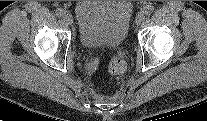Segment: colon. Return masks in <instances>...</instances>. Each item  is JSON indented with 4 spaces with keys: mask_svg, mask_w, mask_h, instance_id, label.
<instances>
[{
    "mask_svg": "<svg viewBox=\"0 0 207 121\" xmlns=\"http://www.w3.org/2000/svg\"><path fill=\"white\" fill-rule=\"evenodd\" d=\"M109 71L113 75L122 74L125 71L126 64L119 56H113L109 61Z\"/></svg>",
    "mask_w": 207,
    "mask_h": 121,
    "instance_id": "obj_1",
    "label": "colon"
}]
</instances>
